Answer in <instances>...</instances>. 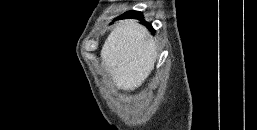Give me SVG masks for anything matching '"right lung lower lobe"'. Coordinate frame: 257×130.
Listing matches in <instances>:
<instances>
[{
  "instance_id": "right-lung-lower-lobe-1",
  "label": "right lung lower lobe",
  "mask_w": 257,
  "mask_h": 130,
  "mask_svg": "<svg viewBox=\"0 0 257 130\" xmlns=\"http://www.w3.org/2000/svg\"><path fill=\"white\" fill-rule=\"evenodd\" d=\"M130 14H137V16L134 17V18H137V19L143 17L139 12L130 11V12H127V13L123 14V15L121 16V19H124V18H132V17H127V16H126V15H130ZM148 26H149L150 28H152L151 25L148 24Z\"/></svg>"
}]
</instances>
